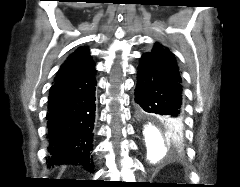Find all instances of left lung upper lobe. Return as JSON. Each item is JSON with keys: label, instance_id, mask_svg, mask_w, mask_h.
Returning a JSON list of instances; mask_svg holds the SVG:
<instances>
[{"label": "left lung upper lobe", "instance_id": "left-lung-upper-lobe-1", "mask_svg": "<svg viewBox=\"0 0 240 187\" xmlns=\"http://www.w3.org/2000/svg\"><path fill=\"white\" fill-rule=\"evenodd\" d=\"M144 55L150 56L171 78L181 82L180 73L174 55L169 49L163 47L160 43H155L151 52ZM158 125L164 130L166 137L170 142L174 143L179 149L183 147V131L176 133V138H173L166 128V124L161 119H154Z\"/></svg>", "mask_w": 240, "mask_h": 187}]
</instances>
